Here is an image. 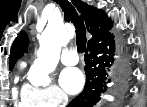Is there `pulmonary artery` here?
I'll list each match as a JSON object with an SVG mask.
<instances>
[{"label":"pulmonary artery","mask_w":147,"mask_h":107,"mask_svg":"<svg viewBox=\"0 0 147 107\" xmlns=\"http://www.w3.org/2000/svg\"><path fill=\"white\" fill-rule=\"evenodd\" d=\"M78 55L75 50L67 49L63 52L61 56V62L64 65H75L78 63Z\"/></svg>","instance_id":"1"}]
</instances>
